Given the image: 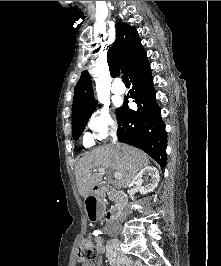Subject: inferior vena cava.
Returning <instances> with one entry per match:
<instances>
[{
    "instance_id": "inferior-vena-cava-1",
    "label": "inferior vena cava",
    "mask_w": 221,
    "mask_h": 266,
    "mask_svg": "<svg viewBox=\"0 0 221 266\" xmlns=\"http://www.w3.org/2000/svg\"><path fill=\"white\" fill-rule=\"evenodd\" d=\"M113 142L115 143L116 142V140H117V137H116V134L115 133H113ZM119 221H116L115 223H114V226L116 227V226H119Z\"/></svg>"
}]
</instances>
